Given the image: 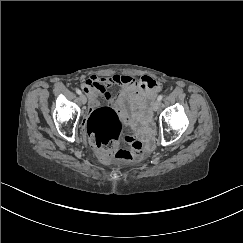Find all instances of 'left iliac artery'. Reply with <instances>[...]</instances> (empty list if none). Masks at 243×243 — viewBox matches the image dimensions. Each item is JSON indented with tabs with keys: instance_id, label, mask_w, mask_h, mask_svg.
Returning <instances> with one entry per match:
<instances>
[{
	"instance_id": "44dca946",
	"label": "left iliac artery",
	"mask_w": 243,
	"mask_h": 243,
	"mask_svg": "<svg viewBox=\"0 0 243 243\" xmlns=\"http://www.w3.org/2000/svg\"><path fill=\"white\" fill-rule=\"evenodd\" d=\"M162 99H163V95H159L157 98L158 101H161Z\"/></svg>"
}]
</instances>
